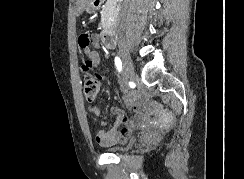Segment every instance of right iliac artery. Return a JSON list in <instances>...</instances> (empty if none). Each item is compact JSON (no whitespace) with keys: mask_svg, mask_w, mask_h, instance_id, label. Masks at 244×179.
Returning a JSON list of instances; mask_svg holds the SVG:
<instances>
[{"mask_svg":"<svg viewBox=\"0 0 244 179\" xmlns=\"http://www.w3.org/2000/svg\"><path fill=\"white\" fill-rule=\"evenodd\" d=\"M115 65L117 67L118 72L122 71V62L119 57H115Z\"/></svg>","mask_w":244,"mask_h":179,"instance_id":"obj_1","label":"right iliac artery"}]
</instances>
